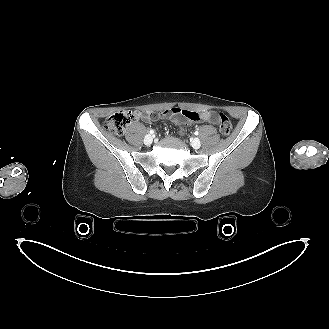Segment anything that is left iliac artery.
Here are the masks:
<instances>
[{
  "instance_id": "44dca946",
  "label": "left iliac artery",
  "mask_w": 329,
  "mask_h": 329,
  "mask_svg": "<svg viewBox=\"0 0 329 329\" xmlns=\"http://www.w3.org/2000/svg\"><path fill=\"white\" fill-rule=\"evenodd\" d=\"M195 135H198L199 134V132L198 131H195V133H194Z\"/></svg>"
}]
</instances>
